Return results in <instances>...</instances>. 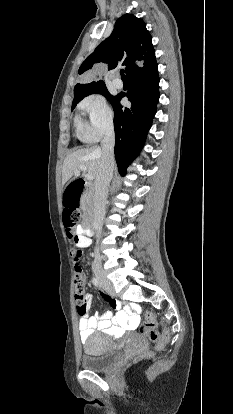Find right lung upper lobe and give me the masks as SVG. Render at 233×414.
Masks as SVG:
<instances>
[{
  "mask_svg": "<svg viewBox=\"0 0 233 414\" xmlns=\"http://www.w3.org/2000/svg\"><path fill=\"white\" fill-rule=\"evenodd\" d=\"M100 63H108L109 69L121 63L129 78L155 68V51L145 22L133 14L120 17L112 34L82 63L79 74L93 71ZM101 85H105L103 81L77 84L74 87L73 101L81 99L84 94Z\"/></svg>",
  "mask_w": 233,
  "mask_h": 414,
  "instance_id": "right-lung-upper-lobe-1",
  "label": "right lung upper lobe"
}]
</instances>
